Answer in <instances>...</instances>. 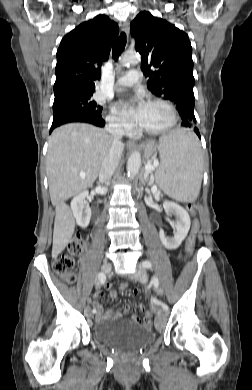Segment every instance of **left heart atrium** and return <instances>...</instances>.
<instances>
[{
	"label": "left heart atrium",
	"instance_id": "1",
	"mask_svg": "<svg viewBox=\"0 0 252 390\" xmlns=\"http://www.w3.org/2000/svg\"><path fill=\"white\" fill-rule=\"evenodd\" d=\"M146 104L142 101L140 96H137L133 100L123 101L121 103V108L126 115L139 122Z\"/></svg>",
	"mask_w": 252,
	"mask_h": 390
}]
</instances>
